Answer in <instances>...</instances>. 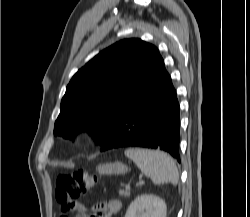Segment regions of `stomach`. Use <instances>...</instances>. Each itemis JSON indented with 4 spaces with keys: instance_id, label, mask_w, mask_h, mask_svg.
I'll use <instances>...</instances> for the list:
<instances>
[{
    "instance_id": "obj_1",
    "label": "stomach",
    "mask_w": 250,
    "mask_h": 217,
    "mask_svg": "<svg viewBox=\"0 0 250 217\" xmlns=\"http://www.w3.org/2000/svg\"><path fill=\"white\" fill-rule=\"evenodd\" d=\"M97 171L103 175H118L126 173L128 168L121 162H113L99 165Z\"/></svg>"
}]
</instances>
